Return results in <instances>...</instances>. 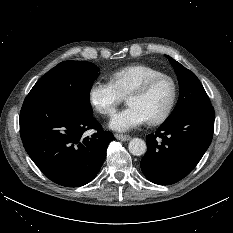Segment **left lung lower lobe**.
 <instances>
[{
	"label": "left lung lower lobe",
	"mask_w": 233,
	"mask_h": 233,
	"mask_svg": "<svg viewBox=\"0 0 233 233\" xmlns=\"http://www.w3.org/2000/svg\"><path fill=\"white\" fill-rule=\"evenodd\" d=\"M213 129L212 106L193 109L174 121L163 123L155 134L146 136L147 152L140 163L145 177L159 185L183 179L208 149Z\"/></svg>",
	"instance_id": "left-lung-lower-lobe-1"
}]
</instances>
